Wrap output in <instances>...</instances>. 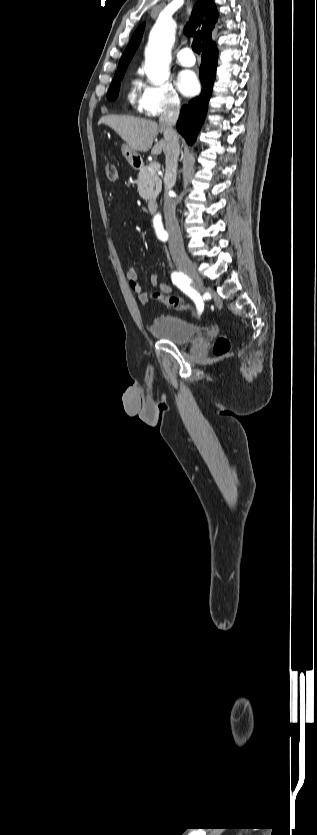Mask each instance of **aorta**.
<instances>
[{
	"mask_svg": "<svg viewBox=\"0 0 317 835\" xmlns=\"http://www.w3.org/2000/svg\"><path fill=\"white\" fill-rule=\"evenodd\" d=\"M175 20L158 19L152 28L145 49V73L153 85H162L170 76L171 49L175 41ZM158 233L162 234L160 219L156 218Z\"/></svg>",
	"mask_w": 317,
	"mask_h": 835,
	"instance_id": "obj_1",
	"label": "aorta"
}]
</instances>
